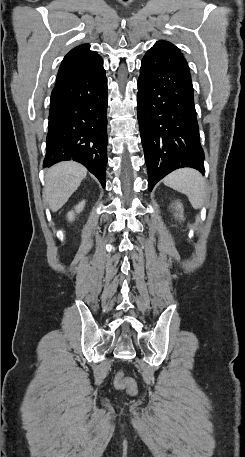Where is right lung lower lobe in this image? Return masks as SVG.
Masks as SVG:
<instances>
[{"label": "right lung lower lobe", "instance_id": "98d812e1", "mask_svg": "<svg viewBox=\"0 0 245 457\" xmlns=\"http://www.w3.org/2000/svg\"><path fill=\"white\" fill-rule=\"evenodd\" d=\"M107 103L104 68L56 83L50 100L43 167L74 160L83 164L104 187Z\"/></svg>", "mask_w": 245, "mask_h": 457}]
</instances>
